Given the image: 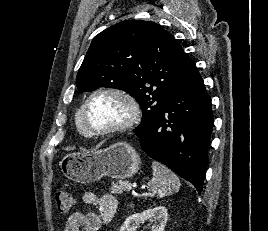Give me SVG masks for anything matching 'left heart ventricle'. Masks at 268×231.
I'll return each mask as SVG.
<instances>
[{
	"instance_id": "left-heart-ventricle-1",
	"label": "left heart ventricle",
	"mask_w": 268,
	"mask_h": 231,
	"mask_svg": "<svg viewBox=\"0 0 268 231\" xmlns=\"http://www.w3.org/2000/svg\"><path fill=\"white\" fill-rule=\"evenodd\" d=\"M126 105L112 95H98L89 104L87 118L89 125L96 130L117 125L125 120Z\"/></svg>"
}]
</instances>
